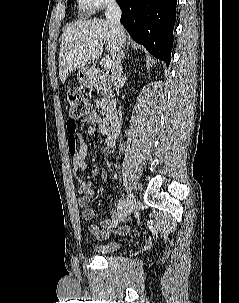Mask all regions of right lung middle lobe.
<instances>
[{
	"instance_id": "right-lung-middle-lobe-1",
	"label": "right lung middle lobe",
	"mask_w": 239,
	"mask_h": 303,
	"mask_svg": "<svg viewBox=\"0 0 239 303\" xmlns=\"http://www.w3.org/2000/svg\"><path fill=\"white\" fill-rule=\"evenodd\" d=\"M70 1H71V0H68V5L70 4Z\"/></svg>"
}]
</instances>
